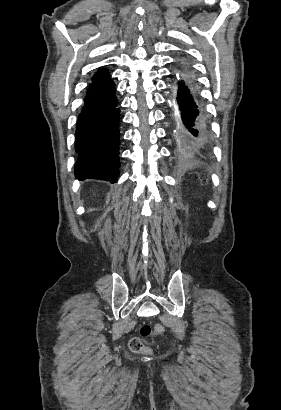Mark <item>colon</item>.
<instances>
[{"mask_svg": "<svg viewBox=\"0 0 281 410\" xmlns=\"http://www.w3.org/2000/svg\"><path fill=\"white\" fill-rule=\"evenodd\" d=\"M165 328L162 324L153 326L143 325L138 336H134L129 341V349L135 354H146L149 352L145 340L151 337H158L164 334Z\"/></svg>", "mask_w": 281, "mask_h": 410, "instance_id": "obj_1", "label": "colon"}]
</instances>
